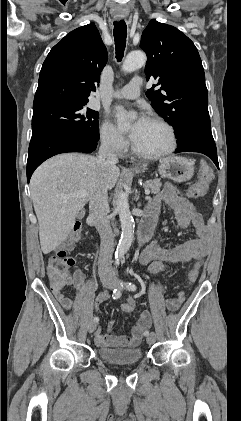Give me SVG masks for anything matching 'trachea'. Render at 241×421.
Listing matches in <instances>:
<instances>
[{"mask_svg":"<svg viewBox=\"0 0 241 421\" xmlns=\"http://www.w3.org/2000/svg\"><path fill=\"white\" fill-rule=\"evenodd\" d=\"M126 37H127L126 23L123 20L119 22H114L115 50H116V59L118 61H121L123 58L124 50L126 47Z\"/></svg>","mask_w":241,"mask_h":421,"instance_id":"trachea-1","label":"trachea"}]
</instances>
